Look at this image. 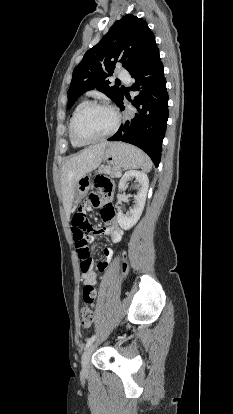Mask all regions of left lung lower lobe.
<instances>
[{
  "label": "left lung lower lobe",
  "mask_w": 233,
  "mask_h": 414,
  "mask_svg": "<svg viewBox=\"0 0 233 414\" xmlns=\"http://www.w3.org/2000/svg\"><path fill=\"white\" fill-rule=\"evenodd\" d=\"M131 76L135 82L130 90L138 92L131 101L137 113L108 140L122 141L141 148L158 166L168 119V94L159 50ZM123 98L118 104L121 110L125 108Z\"/></svg>",
  "instance_id": "0a47b994"
}]
</instances>
